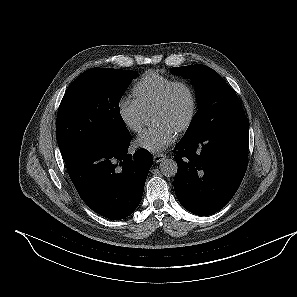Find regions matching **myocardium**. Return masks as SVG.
I'll use <instances>...</instances> for the list:
<instances>
[{
  "instance_id": "1",
  "label": "myocardium",
  "mask_w": 297,
  "mask_h": 297,
  "mask_svg": "<svg viewBox=\"0 0 297 297\" xmlns=\"http://www.w3.org/2000/svg\"><path fill=\"white\" fill-rule=\"evenodd\" d=\"M180 87L184 88L188 93L190 108L186 119L177 129L176 131L177 134H183L191 128L198 112V100H197L195 90L191 86V84H189L187 81H184V80H175L164 90V92L162 93L158 101L154 104V106L151 109L153 111V110L167 107L174 91Z\"/></svg>"
}]
</instances>
